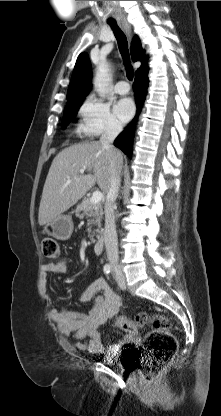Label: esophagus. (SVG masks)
Instances as JSON below:
<instances>
[{
    "instance_id": "obj_1",
    "label": "esophagus",
    "mask_w": 221,
    "mask_h": 416,
    "mask_svg": "<svg viewBox=\"0 0 221 416\" xmlns=\"http://www.w3.org/2000/svg\"><path fill=\"white\" fill-rule=\"evenodd\" d=\"M122 26H123L124 30L126 31V33L130 36L131 28H130L129 24L127 22H122Z\"/></svg>"
}]
</instances>
